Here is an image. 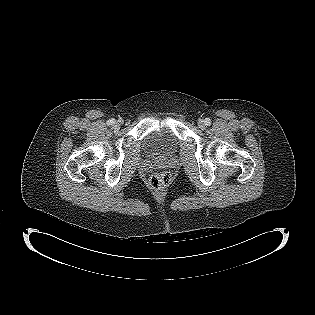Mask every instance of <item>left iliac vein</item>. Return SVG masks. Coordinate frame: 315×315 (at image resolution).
<instances>
[{"label": "left iliac vein", "mask_w": 315, "mask_h": 315, "mask_svg": "<svg viewBox=\"0 0 315 315\" xmlns=\"http://www.w3.org/2000/svg\"><path fill=\"white\" fill-rule=\"evenodd\" d=\"M205 122H204V120H202V119H200L199 121H198V126L201 128V129H204L205 128Z\"/></svg>", "instance_id": "4c4485c4"}]
</instances>
